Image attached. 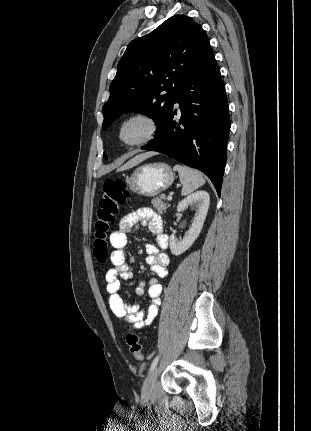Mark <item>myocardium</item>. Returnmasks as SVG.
I'll return each instance as SVG.
<instances>
[{
  "mask_svg": "<svg viewBox=\"0 0 311 431\" xmlns=\"http://www.w3.org/2000/svg\"><path fill=\"white\" fill-rule=\"evenodd\" d=\"M130 118H142V119H145L146 121H148L150 124V127H151L149 134L146 137H144L143 139L135 141V142L124 141L119 134V130H120L122 123L124 121L130 119ZM161 129H162L161 121L156 114H154L153 112L148 111V110H136V111H132L130 113H127V114H125L119 118V120L117 121V123L115 125V135H116V138L118 139V141L126 147H130V148L142 147V146L148 145V144L152 143L154 140H156L161 133Z\"/></svg>",
  "mask_w": 311,
  "mask_h": 431,
  "instance_id": "1",
  "label": "myocardium"
}]
</instances>
